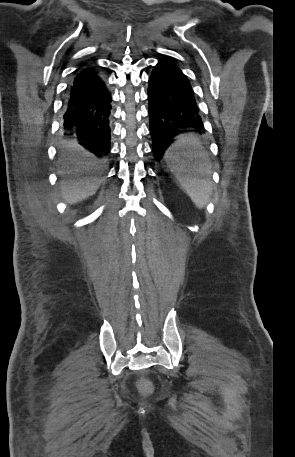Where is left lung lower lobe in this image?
I'll list each match as a JSON object with an SVG mask.
<instances>
[{
    "label": "left lung lower lobe",
    "instance_id": "1",
    "mask_svg": "<svg viewBox=\"0 0 295 457\" xmlns=\"http://www.w3.org/2000/svg\"><path fill=\"white\" fill-rule=\"evenodd\" d=\"M150 132L153 153L161 159L180 134L203 128L193 90L181 69L167 59L154 66L148 86ZM201 133V132H200Z\"/></svg>",
    "mask_w": 295,
    "mask_h": 457
}]
</instances>
